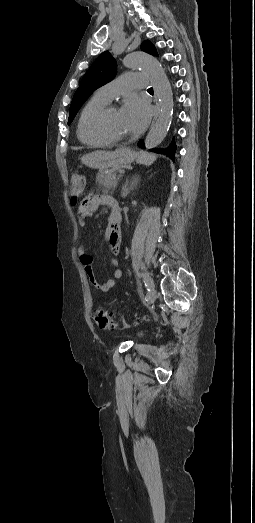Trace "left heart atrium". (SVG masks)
Returning <instances> with one entry per match:
<instances>
[{"instance_id": "obj_1", "label": "left heart atrium", "mask_w": 255, "mask_h": 523, "mask_svg": "<svg viewBox=\"0 0 255 523\" xmlns=\"http://www.w3.org/2000/svg\"><path fill=\"white\" fill-rule=\"evenodd\" d=\"M125 109L130 116L133 133L142 131L151 117L149 103L139 97L131 96L126 100Z\"/></svg>"}]
</instances>
